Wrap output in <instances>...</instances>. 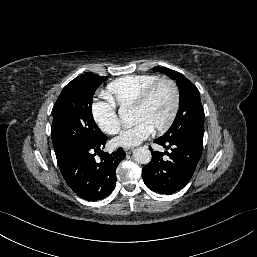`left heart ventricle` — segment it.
<instances>
[{
    "label": "left heart ventricle",
    "mask_w": 257,
    "mask_h": 257,
    "mask_svg": "<svg viewBox=\"0 0 257 257\" xmlns=\"http://www.w3.org/2000/svg\"><path fill=\"white\" fill-rule=\"evenodd\" d=\"M173 105L172 90L168 85H161L148 103L141 109L132 110L133 122L144 121L156 129L168 119Z\"/></svg>",
    "instance_id": "left-heart-ventricle-1"
}]
</instances>
